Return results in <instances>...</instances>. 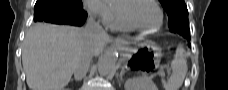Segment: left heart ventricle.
Here are the masks:
<instances>
[{
	"label": "left heart ventricle",
	"mask_w": 228,
	"mask_h": 90,
	"mask_svg": "<svg viewBox=\"0 0 228 90\" xmlns=\"http://www.w3.org/2000/svg\"><path fill=\"white\" fill-rule=\"evenodd\" d=\"M126 14L134 24L146 29L156 28L160 21L157 8L147 0L132 3L127 8Z\"/></svg>",
	"instance_id": "1"
}]
</instances>
